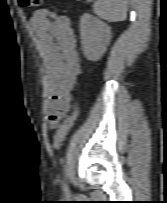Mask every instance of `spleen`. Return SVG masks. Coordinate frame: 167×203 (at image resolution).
Instances as JSON below:
<instances>
[{"mask_svg": "<svg viewBox=\"0 0 167 203\" xmlns=\"http://www.w3.org/2000/svg\"><path fill=\"white\" fill-rule=\"evenodd\" d=\"M128 0H97L94 3V13L109 21H123L127 16Z\"/></svg>", "mask_w": 167, "mask_h": 203, "instance_id": "obj_1", "label": "spleen"}]
</instances>
